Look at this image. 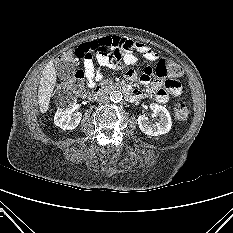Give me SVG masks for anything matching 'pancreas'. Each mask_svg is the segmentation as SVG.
Instances as JSON below:
<instances>
[{"mask_svg":"<svg viewBox=\"0 0 233 233\" xmlns=\"http://www.w3.org/2000/svg\"><path fill=\"white\" fill-rule=\"evenodd\" d=\"M111 84H112V81L109 80V79L103 80V81L101 82V85H106V86H108V85H111Z\"/></svg>","mask_w":233,"mask_h":233,"instance_id":"obj_1","label":"pancreas"}]
</instances>
